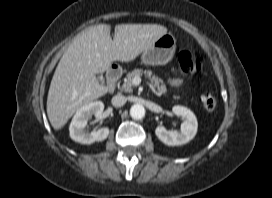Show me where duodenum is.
<instances>
[{
	"instance_id": "duodenum-1",
	"label": "duodenum",
	"mask_w": 272,
	"mask_h": 198,
	"mask_svg": "<svg viewBox=\"0 0 272 198\" xmlns=\"http://www.w3.org/2000/svg\"><path fill=\"white\" fill-rule=\"evenodd\" d=\"M121 69H111L108 72V76H107V84L109 89H113L118 81V79L121 76Z\"/></svg>"
}]
</instances>
